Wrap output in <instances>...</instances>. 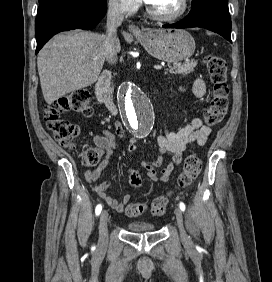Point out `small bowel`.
Segmentation results:
<instances>
[{
	"mask_svg": "<svg viewBox=\"0 0 272 282\" xmlns=\"http://www.w3.org/2000/svg\"><path fill=\"white\" fill-rule=\"evenodd\" d=\"M193 93L198 97H203L206 93V84L203 79H197L192 88ZM211 132L210 127L203 125L200 118H194L191 123L180 128L177 131L166 130L158 135L157 144L159 146L160 155L155 161L144 160L142 167L147 172L148 177L158 183H166L175 166L182 161L183 153L193 144L204 145ZM125 131L120 123H116L115 132L112 133L104 130L101 134L93 137L94 144L104 153L105 158L99 166L91 172L85 173V178L92 185L93 190L103 199L111 208L118 212H123L128 205L131 196L126 193L118 201L114 197L107 194L110 186L109 181L99 182L103 170L107 167L113 150L119 147L120 141L124 138ZM138 139H131L126 147L127 152L132 153L137 150ZM169 155L171 162L162 168L161 173L156 172V167L163 164L164 156ZM138 188V187H133Z\"/></svg>",
	"mask_w": 272,
	"mask_h": 282,
	"instance_id": "obj_1",
	"label": "small bowel"
}]
</instances>
